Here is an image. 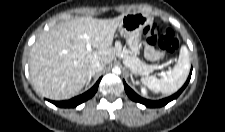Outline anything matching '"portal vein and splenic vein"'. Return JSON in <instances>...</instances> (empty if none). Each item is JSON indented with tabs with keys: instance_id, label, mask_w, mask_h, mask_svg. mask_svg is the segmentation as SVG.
I'll return each instance as SVG.
<instances>
[{
	"instance_id": "portal-vein-and-splenic-vein-1",
	"label": "portal vein and splenic vein",
	"mask_w": 225,
	"mask_h": 132,
	"mask_svg": "<svg viewBox=\"0 0 225 132\" xmlns=\"http://www.w3.org/2000/svg\"><path fill=\"white\" fill-rule=\"evenodd\" d=\"M84 37L87 40V46H86V48H87L88 51H91L92 49H91V44L89 43V36L88 35H85ZM164 67H165V65H153V67L151 69V72L153 70L163 69Z\"/></svg>"
}]
</instances>
